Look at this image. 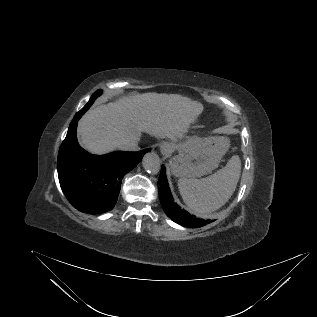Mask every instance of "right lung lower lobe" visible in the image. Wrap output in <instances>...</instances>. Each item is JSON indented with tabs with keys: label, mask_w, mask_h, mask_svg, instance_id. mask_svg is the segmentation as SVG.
<instances>
[{
	"label": "right lung lower lobe",
	"mask_w": 317,
	"mask_h": 317,
	"mask_svg": "<svg viewBox=\"0 0 317 317\" xmlns=\"http://www.w3.org/2000/svg\"><path fill=\"white\" fill-rule=\"evenodd\" d=\"M82 115H75L60 146L57 161L59 182L66 198L76 209L90 214L103 213L115 206L124 175L150 149L91 155L79 146L76 138L77 123Z\"/></svg>",
	"instance_id": "right-lung-lower-lobe-1"
}]
</instances>
